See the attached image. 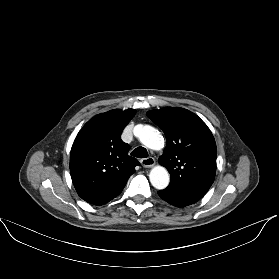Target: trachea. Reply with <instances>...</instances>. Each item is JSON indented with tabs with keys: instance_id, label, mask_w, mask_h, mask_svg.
<instances>
[{
	"instance_id": "3493384b",
	"label": "trachea",
	"mask_w": 279,
	"mask_h": 279,
	"mask_svg": "<svg viewBox=\"0 0 279 279\" xmlns=\"http://www.w3.org/2000/svg\"><path fill=\"white\" fill-rule=\"evenodd\" d=\"M131 155L137 158H147L148 152L144 147H138L131 152Z\"/></svg>"
}]
</instances>
